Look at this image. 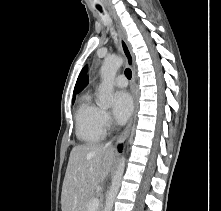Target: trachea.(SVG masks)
Masks as SVG:
<instances>
[{
  "label": "trachea",
  "instance_id": "obj_1",
  "mask_svg": "<svg viewBox=\"0 0 221 211\" xmlns=\"http://www.w3.org/2000/svg\"><path fill=\"white\" fill-rule=\"evenodd\" d=\"M98 10H99L100 12H102V9H101V8H98ZM125 76H126L128 79H131V77H132V72H131V70H130L129 68L125 69Z\"/></svg>",
  "mask_w": 221,
  "mask_h": 211
}]
</instances>
